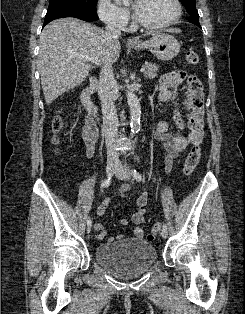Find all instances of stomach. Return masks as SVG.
Returning a JSON list of instances; mask_svg holds the SVG:
<instances>
[{
  "label": "stomach",
  "instance_id": "obj_1",
  "mask_svg": "<svg viewBox=\"0 0 245 314\" xmlns=\"http://www.w3.org/2000/svg\"><path fill=\"white\" fill-rule=\"evenodd\" d=\"M138 50H149L157 59L168 61L176 57L180 50V43L173 36L165 33H157L144 42L131 44Z\"/></svg>",
  "mask_w": 245,
  "mask_h": 314
}]
</instances>
